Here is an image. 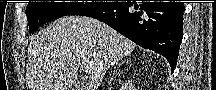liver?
I'll list each match as a JSON object with an SVG mask.
<instances>
[{
	"mask_svg": "<svg viewBox=\"0 0 216 90\" xmlns=\"http://www.w3.org/2000/svg\"><path fill=\"white\" fill-rule=\"evenodd\" d=\"M137 48L116 30L86 16H65L32 38L25 82L29 90H74L85 66L83 90H99L114 64ZM83 70V68H82Z\"/></svg>",
	"mask_w": 216,
	"mask_h": 90,
	"instance_id": "1",
	"label": "liver"
}]
</instances>
